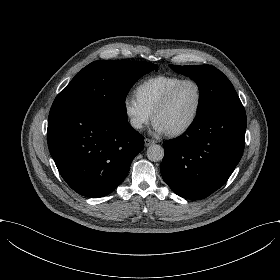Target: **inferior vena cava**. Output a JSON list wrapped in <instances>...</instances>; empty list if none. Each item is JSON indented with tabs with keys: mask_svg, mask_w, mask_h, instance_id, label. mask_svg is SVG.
I'll use <instances>...</instances> for the list:
<instances>
[{
	"mask_svg": "<svg viewBox=\"0 0 280 280\" xmlns=\"http://www.w3.org/2000/svg\"><path fill=\"white\" fill-rule=\"evenodd\" d=\"M131 126L134 128H142V120L139 118H131L130 120Z\"/></svg>",
	"mask_w": 280,
	"mask_h": 280,
	"instance_id": "1",
	"label": "inferior vena cava"
}]
</instances>
